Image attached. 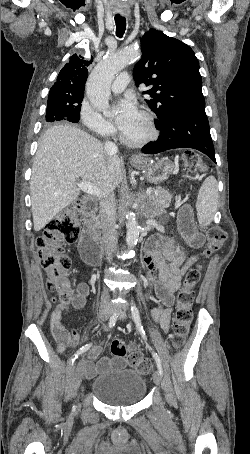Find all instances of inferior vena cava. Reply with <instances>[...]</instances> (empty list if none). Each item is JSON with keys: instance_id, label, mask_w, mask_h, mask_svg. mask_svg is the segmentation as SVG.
Wrapping results in <instances>:
<instances>
[{"instance_id": "obj_1", "label": "inferior vena cava", "mask_w": 250, "mask_h": 454, "mask_svg": "<svg viewBox=\"0 0 250 454\" xmlns=\"http://www.w3.org/2000/svg\"><path fill=\"white\" fill-rule=\"evenodd\" d=\"M104 150L109 154H116L118 151L115 143L111 141H106L104 144ZM100 219H101V228L103 233V242L105 246V251L107 254H110L115 251L116 245L118 242V233L116 230V218H115V206L113 200L105 199L100 203ZM110 261L111 257H107ZM102 303L108 304L109 297L108 292L104 291L101 297Z\"/></svg>"}]
</instances>
